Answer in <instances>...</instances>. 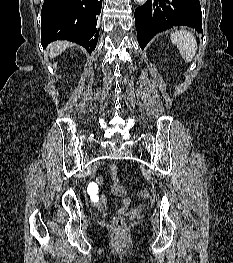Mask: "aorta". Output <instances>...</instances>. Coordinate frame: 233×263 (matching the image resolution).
Returning <instances> with one entry per match:
<instances>
[{
  "label": "aorta",
  "mask_w": 233,
  "mask_h": 263,
  "mask_svg": "<svg viewBox=\"0 0 233 263\" xmlns=\"http://www.w3.org/2000/svg\"><path fill=\"white\" fill-rule=\"evenodd\" d=\"M147 0H135L136 3L138 4H144Z\"/></svg>",
  "instance_id": "762f6f07"
}]
</instances>
